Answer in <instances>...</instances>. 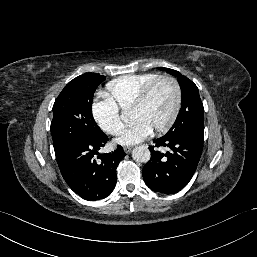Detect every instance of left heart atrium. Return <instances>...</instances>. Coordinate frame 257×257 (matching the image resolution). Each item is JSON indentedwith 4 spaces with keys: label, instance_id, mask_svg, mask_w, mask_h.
<instances>
[{
    "label": "left heart atrium",
    "instance_id": "1",
    "mask_svg": "<svg viewBox=\"0 0 257 257\" xmlns=\"http://www.w3.org/2000/svg\"><path fill=\"white\" fill-rule=\"evenodd\" d=\"M152 133V128L144 121L138 120L132 126L121 131L115 142L130 146L142 142Z\"/></svg>",
    "mask_w": 257,
    "mask_h": 257
}]
</instances>
